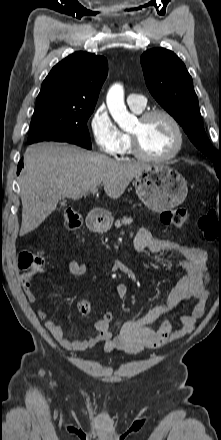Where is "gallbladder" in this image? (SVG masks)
Returning a JSON list of instances; mask_svg holds the SVG:
<instances>
[{
    "instance_id": "obj_1",
    "label": "gallbladder",
    "mask_w": 221,
    "mask_h": 440,
    "mask_svg": "<svg viewBox=\"0 0 221 440\" xmlns=\"http://www.w3.org/2000/svg\"><path fill=\"white\" fill-rule=\"evenodd\" d=\"M66 204V200H62L61 201V205L63 206V205H65Z\"/></svg>"
}]
</instances>
